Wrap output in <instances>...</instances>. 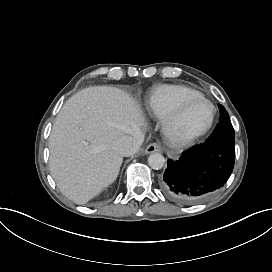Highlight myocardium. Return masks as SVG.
<instances>
[{
	"label": "myocardium",
	"instance_id": "obj_1",
	"mask_svg": "<svg viewBox=\"0 0 272 272\" xmlns=\"http://www.w3.org/2000/svg\"><path fill=\"white\" fill-rule=\"evenodd\" d=\"M196 99H202L205 100L211 109V114H210V118L208 123L203 126L202 128L196 129V130H191V131H182L178 128L177 124L174 122L172 124V127L169 128V126L166 124V130L170 132V134L172 135V137L175 140H187V139H191V138H195L198 137L204 133H206L207 131L210 130V128L212 127L214 121H215V117H216V113H217V109L215 104L212 102V100H210L209 98H207L206 96H204L203 94H197V95H193L190 97H186L184 99H182L179 104L176 106V108L174 109V111H176L178 114H181L182 111L184 110V108L192 101L196 100Z\"/></svg>",
	"mask_w": 272,
	"mask_h": 272
}]
</instances>
